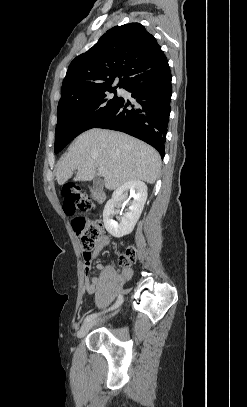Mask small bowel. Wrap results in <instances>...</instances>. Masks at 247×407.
I'll return each instance as SVG.
<instances>
[{"label": "small bowel", "instance_id": "c3829d8e", "mask_svg": "<svg viewBox=\"0 0 247 407\" xmlns=\"http://www.w3.org/2000/svg\"><path fill=\"white\" fill-rule=\"evenodd\" d=\"M108 240L107 238H102L98 245L96 246L95 250L93 253H91L89 256H83L84 258V274H85V290L89 294H93L96 292V288L100 283V278L97 276H93L92 279L89 281L88 280V275L91 270V265L92 262L97 258L99 255L100 251L103 249L104 245L107 244ZM96 268L100 271L104 270V266L102 264H97ZM133 273L131 269H125L123 271V279L125 281H128L131 279Z\"/></svg>", "mask_w": 247, "mask_h": 407}]
</instances>
